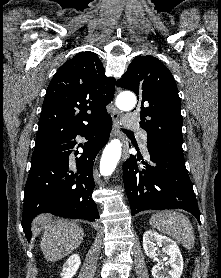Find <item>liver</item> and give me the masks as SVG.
Returning <instances> with one entry per match:
<instances>
[{
	"label": "liver",
	"mask_w": 221,
	"mask_h": 278,
	"mask_svg": "<svg viewBox=\"0 0 221 278\" xmlns=\"http://www.w3.org/2000/svg\"><path fill=\"white\" fill-rule=\"evenodd\" d=\"M34 223L44 229L40 248L47 261L55 262L66 257L83 241V229L74 222L43 214L37 216Z\"/></svg>",
	"instance_id": "6515ba94"
}]
</instances>
